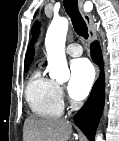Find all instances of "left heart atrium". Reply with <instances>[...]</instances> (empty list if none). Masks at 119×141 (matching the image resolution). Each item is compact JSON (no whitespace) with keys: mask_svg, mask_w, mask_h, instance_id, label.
Segmentation results:
<instances>
[{"mask_svg":"<svg viewBox=\"0 0 119 141\" xmlns=\"http://www.w3.org/2000/svg\"><path fill=\"white\" fill-rule=\"evenodd\" d=\"M70 73L68 92L73 99L81 100L87 96L92 87L94 70L88 60L77 59L71 63Z\"/></svg>","mask_w":119,"mask_h":141,"instance_id":"39dd6f15","label":"left heart atrium"}]
</instances>
